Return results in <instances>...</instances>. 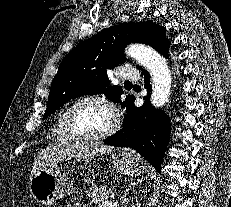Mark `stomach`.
Returning <instances> with one entry per match:
<instances>
[{
    "instance_id": "0dacf381",
    "label": "stomach",
    "mask_w": 231,
    "mask_h": 207,
    "mask_svg": "<svg viewBox=\"0 0 231 207\" xmlns=\"http://www.w3.org/2000/svg\"><path fill=\"white\" fill-rule=\"evenodd\" d=\"M113 167L129 176L140 175L145 166L131 153L121 152L114 156ZM29 190L32 197L45 206L75 192L73 183L58 165L39 170L30 179Z\"/></svg>"
}]
</instances>
